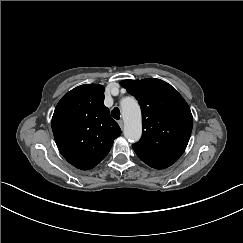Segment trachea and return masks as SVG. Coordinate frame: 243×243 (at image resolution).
Instances as JSON below:
<instances>
[{
  "label": "trachea",
  "mask_w": 243,
  "mask_h": 243,
  "mask_svg": "<svg viewBox=\"0 0 243 243\" xmlns=\"http://www.w3.org/2000/svg\"><path fill=\"white\" fill-rule=\"evenodd\" d=\"M111 115L114 119H117L119 120L120 119V116H121V113H120V110L119 108L115 107L112 112H111Z\"/></svg>",
  "instance_id": "obj_1"
}]
</instances>
